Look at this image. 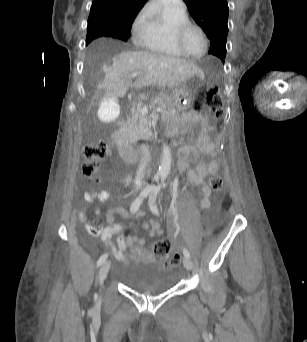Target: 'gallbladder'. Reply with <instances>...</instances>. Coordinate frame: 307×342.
<instances>
[{
    "label": "gallbladder",
    "instance_id": "obj_1",
    "mask_svg": "<svg viewBox=\"0 0 307 342\" xmlns=\"http://www.w3.org/2000/svg\"><path fill=\"white\" fill-rule=\"evenodd\" d=\"M118 95H106L99 104L102 123H115L119 118L120 100Z\"/></svg>",
    "mask_w": 307,
    "mask_h": 342
}]
</instances>
